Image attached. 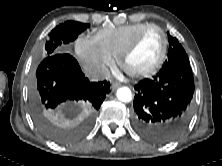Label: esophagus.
Returning a JSON list of instances; mask_svg holds the SVG:
<instances>
[{"label":"esophagus","mask_w":222,"mask_h":166,"mask_svg":"<svg viewBox=\"0 0 222 166\" xmlns=\"http://www.w3.org/2000/svg\"><path fill=\"white\" fill-rule=\"evenodd\" d=\"M120 86H121V84H120V83H117V82H113L112 85H111V87H112L113 90L119 88Z\"/></svg>","instance_id":"1"}]
</instances>
